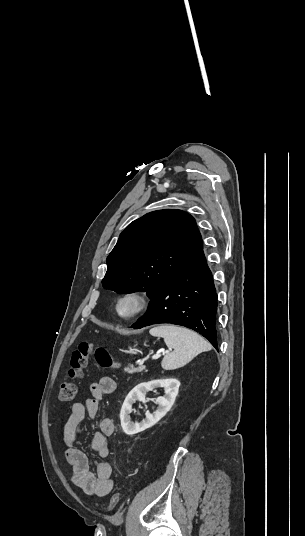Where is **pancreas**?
<instances>
[{
    "instance_id": "obj_1",
    "label": "pancreas",
    "mask_w": 305,
    "mask_h": 536,
    "mask_svg": "<svg viewBox=\"0 0 305 536\" xmlns=\"http://www.w3.org/2000/svg\"><path fill=\"white\" fill-rule=\"evenodd\" d=\"M142 370H144L142 366H138V368H135L133 364H129L127 368H124V372H127V374H135V372H142Z\"/></svg>"
}]
</instances>
